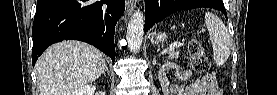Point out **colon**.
Returning <instances> with one entry per match:
<instances>
[{
	"label": "colon",
	"instance_id": "obj_1",
	"mask_svg": "<svg viewBox=\"0 0 277 95\" xmlns=\"http://www.w3.org/2000/svg\"><path fill=\"white\" fill-rule=\"evenodd\" d=\"M189 54L192 70L196 73L205 74L209 82L214 81L213 73L209 71L210 60L205 53V49L196 40H192L189 45Z\"/></svg>",
	"mask_w": 277,
	"mask_h": 95
}]
</instances>
